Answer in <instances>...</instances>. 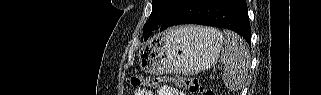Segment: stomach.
<instances>
[{
    "mask_svg": "<svg viewBox=\"0 0 321 95\" xmlns=\"http://www.w3.org/2000/svg\"><path fill=\"white\" fill-rule=\"evenodd\" d=\"M224 44L223 35L203 31L201 27L170 29L157 36L139 54V64L152 74H196L218 59Z\"/></svg>",
    "mask_w": 321,
    "mask_h": 95,
    "instance_id": "stomach-1",
    "label": "stomach"
}]
</instances>
